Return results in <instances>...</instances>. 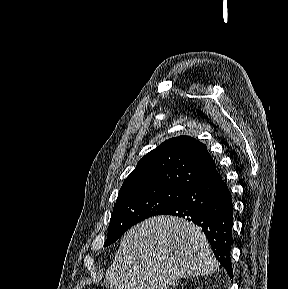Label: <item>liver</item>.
Returning <instances> with one entry per match:
<instances>
[{
  "mask_svg": "<svg viewBox=\"0 0 288 289\" xmlns=\"http://www.w3.org/2000/svg\"><path fill=\"white\" fill-rule=\"evenodd\" d=\"M218 266L200 227L160 215L123 236L106 279L111 289H169L186 275H208Z\"/></svg>",
  "mask_w": 288,
  "mask_h": 289,
  "instance_id": "1",
  "label": "liver"
}]
</instances>
